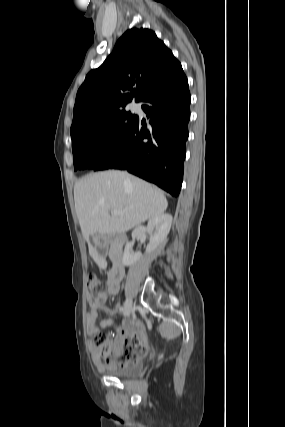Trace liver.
<instances>
[{
  "instance_id": "6515ba94",
  "label": "liver",
  "mask_w": 285,
  "mask_h": 427,
  "mask_svg": "<svg viewBox=\"0 0 285 427\" xmlns=\"http://www.w3.org/2000/svg\"><path fill=\"white\" fill-rule=\"evenodd\" d=\"M74 201L83 237L94 258L97 254L90 244V236L125 233L163 214L168 207L159 188L117 170L81 178L74 186ZM111 210L119 214L112 216Z\"/></svg>"
}]
</instances>
